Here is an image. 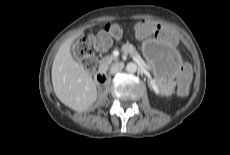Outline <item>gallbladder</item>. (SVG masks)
I'll list each match as a JSON object with an SVG mask.
<instances>
[{"label":"gallbladder","instance_id":"obj_1","mask_svg":"<svg viewBox=\"0 0 230 155\" xmlns=\"http://www.w3.org/2000/svg\"><path fill=\"white\" fill-rule=\"evenodd\" d=\"M75 60H76V61H80L76 56H75Z\"/></svg>","mask_w":230,"mask_h":155}]
</instances>
